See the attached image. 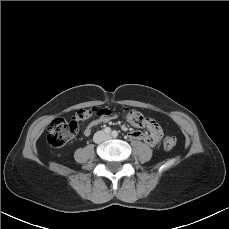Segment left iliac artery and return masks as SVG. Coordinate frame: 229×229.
<instances>
[{
    "label": "left iliac artery",
    "mask_w": 229,
    "mask_h": 229,
    "mask_svg": "<svg viewBox=\"0 0 229 229\" xmlns=\"http://www.w3.org/2000/svg\"><path fill=\"white\" fill-rule=\"evenodd\" d=\"M112 136L113 137H117L118 136V132L116 130L112 131Z\"/></svg>",
    "instance_id": "left-iliac-artery-1"
}]
</instances>
